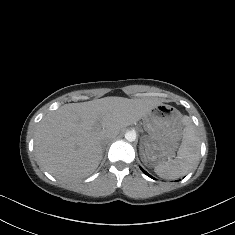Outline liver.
I'll list each match as a JSON object with an SVG mask.
<instances>
[{"mask_svg":"<svg viewBox=\"0 0 235 235\" xmlns=\"http://www.w3.org/2000/svg\"><path fill=\"white\" fill-rule=\"evenodd\" d=\"M161 103L154 97H106L65 104L48 113L35 129L37 164L63 182L85 178L102 159L101 141L105 137H116L121 129L135 124ZM97 121L100 125L95 130Z\"/></svg>","mask_w":235,"mask_h":235,"instance_id":"1","label":"liver"}]
</instances>
